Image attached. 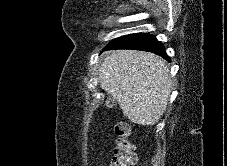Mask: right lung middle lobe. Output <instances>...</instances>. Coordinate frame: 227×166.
<instances>
[{
    "label": "right lung middle lobe",
    "mask_w": 227,
    "mask_h": 166,
    "mask_svg": "<svg viewBox=\"0 0 227 166\" xmlns=\"http://www.w3.org/2000/svg\"><path fill=\"white\" fill-rule=\"evenodd\" d=\"M123 37H124V36H123ZM120 38H122V37H119V38H117V39L113 40L111 43H113V42H115V41L119 40ZM111 43H110V44H111Z\"/></svg>",
    "instance_id": "obj_1"
}]
</instances>
